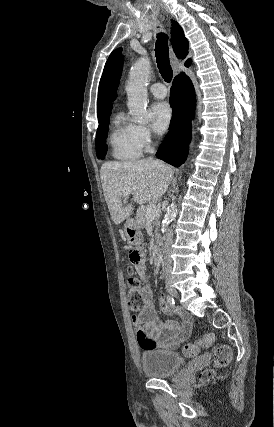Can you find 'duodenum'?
<instances>
[{
	"label": "duodenum",
	"mask_w": 274,
	"mask_h": 427,
	"mask_svg": "<svg viewBox=\"0 0 274 427\" xmlns=\"http://www.w3.org/2000/svg\"><path fill=\"white\" fill-rule=\"evenodd\" d=\"M154 252L156 255H162L163 254V245L161 243L157 244Z\"/></svg>",
	"instance_id": "duodenum-1"
}]
</instances>
